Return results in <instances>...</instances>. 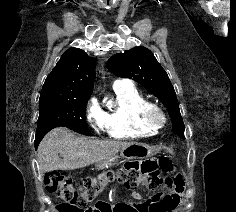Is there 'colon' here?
Wrapping results in <instances>:
<instances>
[{"mask_svg":"<svg viewBox=\"0 0 236 212\" xmlns=\"http://www.w3.org/2000/svg\"><path fill=\"white\" fill-rule=\"evenodd\" d=\"M172 168V163L165 158L158 161H131L124 163L117 171L106 170L79 183L59 172H48L44 185L48 192L64 202L60 212H83V207L91 204L108 184L115 181L121 185L143 184L152 191L163 187L171 192L175 190L174 180L161 176V172Z\"/></svg>","mask_w":236,"mask_h":212,"instance_id":"obj_1","label":"colon"}]
</instances>
